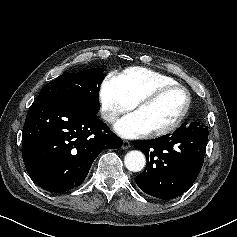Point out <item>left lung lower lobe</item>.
Instances as JSON below:
<instances>
[{"instance_id":"obj_1","label":"left lung lower lobe","mask_w":237,"mask_h":237,"mask_svg":"<svg viewBox=\"0 0 237 237\" xmlns=\"http://www.w3.org/2000/svg\"><path fill=\"white\" fill-rule=\"evenodd\" d=\"M208 142V126L183 123L173 134L138 140L134 147L147 157L136 184L148 195L172 199L187 191L200 173Z\"/></svg>"}]
</instances>
